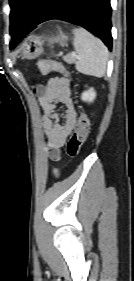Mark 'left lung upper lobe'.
<instances>
[{"mask_svg": "<svg viewBox=\"0 0 134 281\" xmlns=\"http://www.w3.org/2000/svg\"><path fill=\"white\" fill-rule=\"evenodd\" d=\"M44 1L45 0H9V5L11 7L10 34L13 32H25ZM14 40L15 38H12L10 42L11 49L16 45Z\"/></svg>", "mask_w": 134, "mask_h": 281, "instance_id": "1", "label": "left lung upper lobe"}]
</instances>
